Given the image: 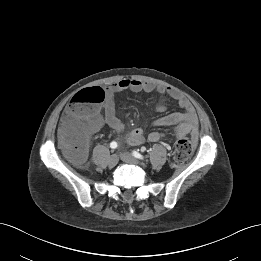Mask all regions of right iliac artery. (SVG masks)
Segmentation results:
<instances>
[{
  "mask_svg": "<svg viewBox=\"0 0 261 261\" xmlns=\"http://www.w3.org/2000/svg\"><path fill=\"white\" fill-rule=\"evenodd\" d=\"M117 143L115 142V141H112L111 143H110V147L112 148V149H115V148H117Z\"/></svg>",
  "mask_w": 261,
  "mask_h": 261,
  "instance_id": "1",
  "label": "right iliac artery"
}]
</instances>
